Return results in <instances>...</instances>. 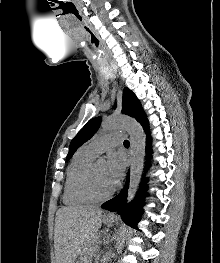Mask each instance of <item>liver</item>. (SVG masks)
<instances>
[{"mask_svg": "<svg viewBox=\"0 0 220 263\" xmlns=\"http://www.w3.org/2000/svg\"><path fill=\"white\" fill-rule=\"evenodd\" d=\"M102 210L93 206L62 207L57 210L54 229L56 263H75L79 255L87 261V249L101 228Z\"/></svg>", "mask_w": 220, "mask_h": 263, "instance_id": "6515ba94", "label": "liver"}]
</instances>
